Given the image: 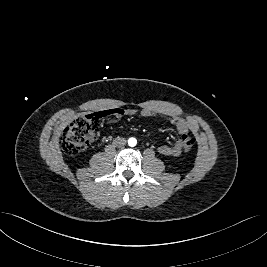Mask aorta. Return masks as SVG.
Segmentation results:
<instances>
[{"mask_svg": "<svg viewBox=\"0 0 267 267\" xmlns=\"http://www.w3.org/2000/svg\"><path fill=\"white\" fill-rule=\"evenodd\" d=\"M136 144H137V140L135 138L132 137V138L128 139V145L129 146L134 147V146H136Z\"/></svg>", "mask_w": 267, "mask_h": 267, "instance_id": "aorta-1", "label": "aorta"}]
</instances>
